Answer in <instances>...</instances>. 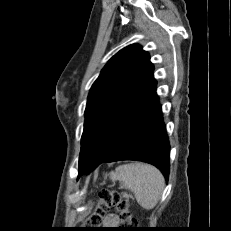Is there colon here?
Returning a JSON list of instances; mask_svg holds the SVG:
<instances>
[{
	"instance_id": "colon-1",
	"label": "colon",
	"mask_w": 231,
	"mask_h": 231,
	"mask_svg": "<svg viewBox=\"0 0 231 231\" xmlns=\"http://www.w3.org/2000/svg\"><path fill=\"white\" fill-rule=\"evenodd\" d=\"M114 209L123 225L135 224V219L130 212V203L123 198L117 190L103 189L98 194V204L95 212L88 219L90 225H99L103 222L105 214Z\"/></svg>"
}]
</instances>
